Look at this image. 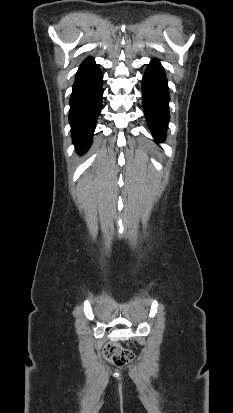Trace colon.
<instances>
[{"label":"colon","mask_w":233,"mask_h":413,"mask_svg":"<svg viewBox=\"0 0 233 413\" xmlns=\"http://www.w3.org/2000/svg\"><path fill=\"white\" fill-rule=\"evenodd\" d=\"M104 355L108 360L117 366L127 364L134 357V354L130 349L116 343L107 344L104 348Z\"/></svg>","instance_id":"5ec220e1"}]
</instances>
